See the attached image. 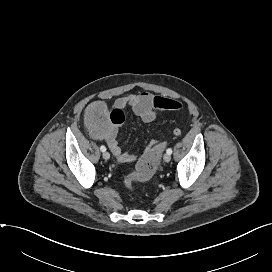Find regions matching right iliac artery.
<instances>
[{"label": "right iliac artery", "mask_w": 272, "mask_h": 272, "mask_svg": "<svg viewBox=\"0 0 272 272\" xmlns=\"http://www.w3.org/2000/svg\"><path fill=\"white\" fill-rule=\"evenodd\" d=\"M100 150H101L102 152H105V151H106V147H105L104 145H102V146L100 147Z\"/></svg>", "instance_id": "1"}]
</instances>
